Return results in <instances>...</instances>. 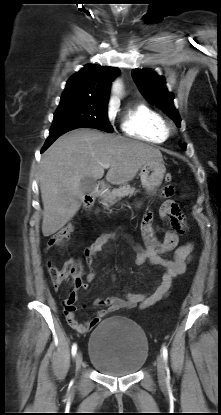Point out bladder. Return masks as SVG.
Returning <instances> with one entry per match:
<instances>
[{
    "label": "bladder",
    "instance_id": "1",
    "mask_svg": "<svg viewBox=\"0 0 221 415\" xmlns=\"http://www.w3.org/2000/svg\"><path fill=\"white\" fill-rule=\"evenodd\" d=\"M149 352L146 334L129 318L115 316L101 322L89 337L90 363L101 373L122 377L136 373Z\"/></svg>",
    "mask_w": 221,
    "mask_h": 415
}]
</instances>
